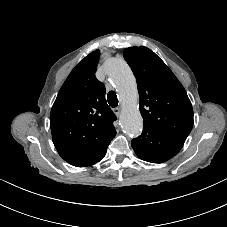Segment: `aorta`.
I'll return each instance as SVG.
<instances>
[{"mask_svg":"<svg viewBox=\"0 0 227 227\" xmlns=\"http://www.w3.org/2000/svg\"><path fill=\"white\" fill-rule=\"evenodd\" d=\"M105 71L116 85L123 104L120 122L124 132L139 135L143 128V119L137 106V86L130 67L122 59L110 58L105 64Z\"/></svg>","mask_w":227,"mask_h":227,"instance_id":"aorta-1","label":"aorta"}]
</instances>
